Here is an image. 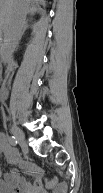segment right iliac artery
<instances>
[{
  "instance_id": "right-iliac-artery-1",
  "label": "right iliac artery",
  "mask_w": 103,
  "mask_h": 193,
  "mask_svg": "<svg viewBox=\"0 0 103 193\" xmlns=\"http://www.w3.org/2000/svg\"><path fill=\"white\" fill-rule=\"evenodd\" d=\"M8 141H9V143H10L12 146H16L17 143H18V141H17V139L15 138V136H10V137H8Z\"/></svg>"
}]
</instances>
